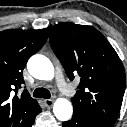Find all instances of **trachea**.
Wrapping results in <instances>:
<instances>
[{"instance_id": "obj_1", "label": "trachea", "mask_w": 127, "mask_h": 127, "mask_svg": "<svg viewBox=\"0 0 127 127\" xmlns=\"http://www.w3.org/2000/svg\"><path fill=\"white\" fill-rule=\"evenodd\" d=\"M33 96L36 98H46L49 99L51 97V93L49 90L45 88H37L33 92Z\"/></svg>"}]
</instances>
